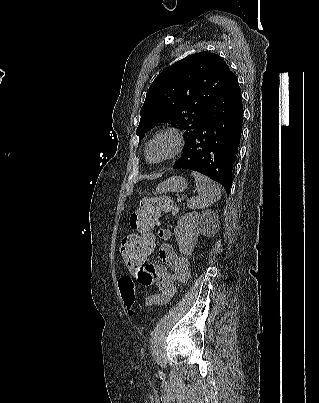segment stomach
I'll return each instance as SVG.
<instances>
[{
	"label": "stomach",
	"instance_id": "0dacf381",
	"mask_svg": "<svg viewBox=\"0 0 319 403\" xmlns=\"http://www.w3.org/2000/svg\"><path fill=\"white\" fill-rule=\"evenodd\" d=\"M187 180L182 176H172L166 181L161 182L156 187V192L164 194L167 192H183L187 188Z\"/></svg>",
	"mask_w": 319,
	"mask_h": 403
}]
</instances>
